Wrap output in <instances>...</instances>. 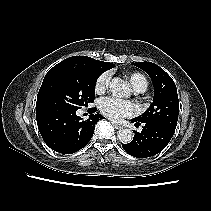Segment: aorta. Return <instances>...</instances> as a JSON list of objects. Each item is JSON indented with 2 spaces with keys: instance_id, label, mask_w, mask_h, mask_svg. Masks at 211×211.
Instances as JSON below:
<instances>
[{
  "instance_id": "1",
  "label": "aorta",
  "mask_w": 211,
  "mask_h": 211,
  "mask_svg": "<svg viewBox=\"0 0 211 211\" xmlns=\"http://www.w3.org/2000/svg\"><path fill=\"white\" fill-rule=\"evenodd\" d=\"M110 91L116 97H128L131 93L129 85L120 78H113L110 81ZM133 132L130 129H122L118 131V140L123 144H128L133 140Z\"/></svg>"
}]
</instances>
